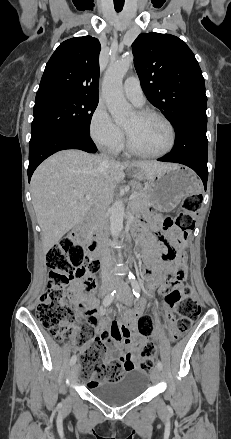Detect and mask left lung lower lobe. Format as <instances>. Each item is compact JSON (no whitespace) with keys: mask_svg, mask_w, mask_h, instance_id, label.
I'll return each instance as SVG.
<instances>
[{"mask_svg":"<svg viewBox=\"0 0 231 439\" xmlns=\"http://www.w3.org/2000/svg\"><path fill=\"white\" fill-rule=\"evenodd\" d=\"M207 116H193L180 123L175 130V145L170 153L158 161L184 164L193 169L207 186Z\"/></svg>","mask_w":231,"mask_h":439,"instance_id":"1","label":"left lung lower lobe"}]
</instances>
